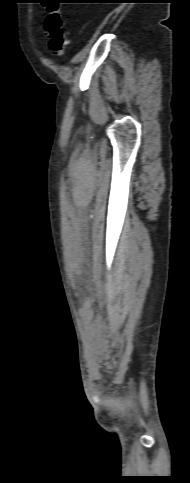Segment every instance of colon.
Masks as SVG:
<instances>
[{
	"instance_id": "colon-1",
	"label": "colon",
	"mask_w": 190,
	"mask_h": 483,
	"mask_svg": "<svg viewBox=\"0 0 190 483\" xmlns=\"http://www.w3.org/2000/svg\"><path fill=\"white\" fill-rule=\"evenodd\" d=\"M45 31L50 52L56 57L63 56L67 50L68 40L63 15L59 8L49 12L45 22Z\"/></svg>"
}]
</instances>
